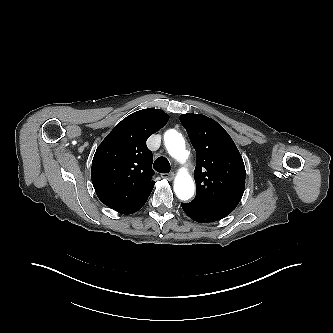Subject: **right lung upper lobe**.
<instances>
[{
    "mask_svg": "<svg viewBox=\"0 0 333 333\" xmlns=\"http://www.w3.org/2000/svg\"><path fill=\"white\" fill-rule=\"evenodd\" d=\"M168 119L158 109L134 112L117 124L97 147L91 179L103 204L121 214H132L143 207L155 184L153 156L146 141Z\"/></svg>",
    "mask_w": 333,
    "mask_h": 333,
    "instance_id": "right-lung-upper-lobe-1",
    "label": "right lung upper lobe"
}]
</instances>
